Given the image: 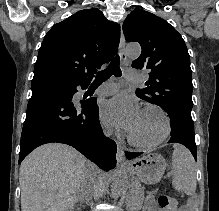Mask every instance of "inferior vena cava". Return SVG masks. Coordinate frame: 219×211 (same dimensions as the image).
I'll return each mask as SVG.
<instances>
[{
    "instance_id": "inferior-vena-cava-1",
    "label": "inferior vena cava",
    "mask_w": 219,
    "mask_h": 211,
    "mask_svg": "<svg viewBox=\"0 0 219 211\" xmlns=\"http://www.w3.org/2000/svg\"><path fill=\"white\" fill-rule=\"evenodd\" d=\"M98 166L101 164L99 161L96 163ZM95 170H90V174H85V183H81V188H78V193L82 199H85L87 202L89 198L94 197V188L99 187L100 175H103V170H98L96 166Z\"/></svg>"
}]
</instances>
